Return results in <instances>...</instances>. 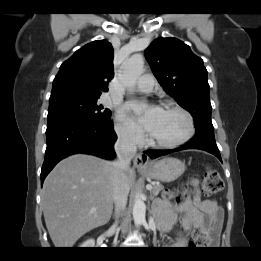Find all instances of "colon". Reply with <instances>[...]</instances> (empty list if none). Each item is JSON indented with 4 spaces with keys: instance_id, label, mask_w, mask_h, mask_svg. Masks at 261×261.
Returning <instances> with one entry per match:
<instances>
[{
    "instance_id": "5ec220e1",
    "label": "colon",
    "mask_w": 261,
    "mask_h": 261,
    "mask_svg": "<svg viewBox=\"0 0 261 261\" xmlns=\"http://www.w3.org/2000/svg\"><path fill=\"white\" fill-rule=\"evenodd\" d=\"M224 190V182L219 173L211 168H207L201 182V193L204 196H214L220 194ZM165 198L168 200H178L174 192L168 191L165 193ZM211 235L209 230H204L195 235L194 244L205 247L210 243Z\"/></svg>"
}]
</instances>
